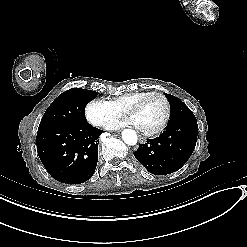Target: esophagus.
I'll use <instances>...</instances> for the list:
<instances>
[{
    "label": "esophagus",
    "instance_id": "1",
    "mask_svg": "<svg viewBox=\"0 0 247 247\" xmlns=\"http://www.w3.org/2000/svg\"><path fill=\"white\" fill-rule=\"evenodd\" d=\"M146 141H147V140H146L144 137L139 136V142H140V143H143V144H144V143H146Z\"/></svg>",
    "mask_w": 247,
    "mask_h": 247
}]
</instances>
